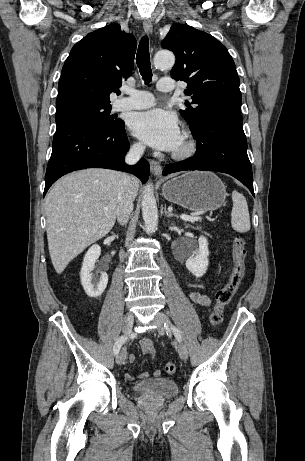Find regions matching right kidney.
<instances>
[{"instance_id": "ca27d5eb", "label": "right kidney", "mask_w": 305, "mask_h": 461, "mask_svg": "<svg viewBox=\"0 0 305 461\" xmlns=\"http://www.w3.org/2000/svg\"><path fill=\"white\" fill-rule=\"evenodd\" d=\"M101 254V248L99 245L91 246L85 254L80 278L81 284L85 293L91 298H97L102 295L107 287L108 275L104 271H99L100 276L92 275V271L95 267V262Z\"/></svg>"}]
</instances>
